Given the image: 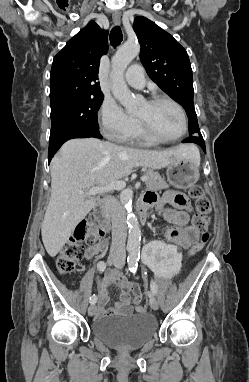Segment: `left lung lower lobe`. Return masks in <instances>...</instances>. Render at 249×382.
<instances>
[{"instance_id":"left-lung-lower-lobe-1","label":"left lung lower lobe","mask_w":249,"mask_h":382,"mask_svg":"<svg viewBox=\"0 0 249 382\" xmlns=\"http://www.w3.org/2000/svg\"><path fill=\"white\" fill-rule=\"evenodd\" d=\"M188 142L198 144L204 150V152L206 153L205 143H204V140L202 138V135L189 136L188 138H186L183 141V143H188Z\"/></svg>"}]
</instances>
